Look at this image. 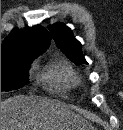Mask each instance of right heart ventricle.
I'll use <instances>...</instances> for the list:
<instances>
[{"label": "right heart ventricle", "mask_w": 123, "mask_h": 130, "mask_svg": "<svg viewBox=\"0 0 123 130\" xmlns=\"http://www.w3.org/2000/svg\"><path fill=\"white\" fill-rule=\"evenodd\" d=\"M42 79L50 89L60 92L70 91L79 84L77 73L64 61L49 63L42 73Z\"/></svg>", "instance_id": "1"}]
</instances>
